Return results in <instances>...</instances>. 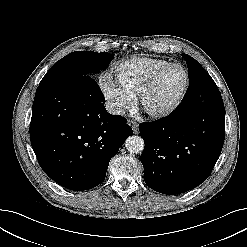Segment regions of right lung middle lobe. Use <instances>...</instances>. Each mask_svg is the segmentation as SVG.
I'll return each mask as SVG.
<instances>
[{"label": "right lung middle lobe", "instance_id": "right-lung-middle-lobe-1", "mask_svg": "<svg viewBox=\"0 0 247 247\" xmlns=\"http://www.w3.org/2000/svg\"><path fill=\"white\" fill-rule=\"evenodd\" d=\"M112 58L113 56L108 52L75 51L57 61L45 74L43 80L67 73L90 76L105 69Z\"/></svg>", "mask_w": 247, "mask_h": 247}]
</instances>
